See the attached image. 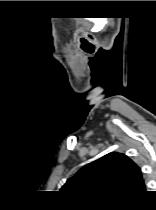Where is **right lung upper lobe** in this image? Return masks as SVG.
<instances>
[{"instance_id": "right-lung-upper-lobe-1", "label": "right lung upper lobe", "mask_w": 156, "mask_h": 210, "mask_svg": "<svg viewBox=\"0 0 156 210\" xmlns=\"http://www.w3.org/2000/svg\"><path fill=\"white\" fill-rule=\"evenodd\" d=\"M141 169L125 154L112 152L81 168L61 188L94 203L130 202L145 193Z\"/></svg>"}]
</instances>
